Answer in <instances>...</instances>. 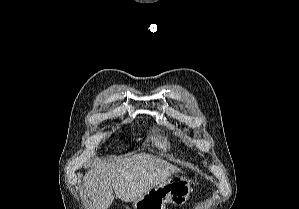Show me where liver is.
Segmentation results:
<instances>
[{
	"instance_id": "1",
	"label": "liver",
	"mask_w": 299,
	"mask_h": 209,
	"mask_svg": "<svg viewBox=\"0 0 299 209\" xmlns=\"http://www.w3.org/2000/svg\"><path fill=\"white\" fill-rule=\"evenodd\" d=\"M180 169L149 154H137L95 165L85 175V197L90 209H108L114 194L124 202H134Z\"/></svg>"
}]
</instances>
